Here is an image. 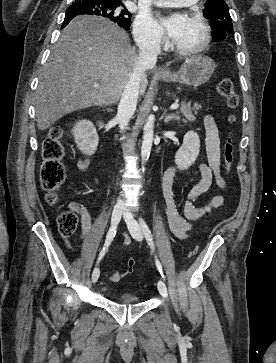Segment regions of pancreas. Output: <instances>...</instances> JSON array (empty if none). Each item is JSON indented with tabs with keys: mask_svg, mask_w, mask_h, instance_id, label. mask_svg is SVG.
Returning a JSON list of instances; mask_svg holds the SVG:
<instances>
[{
	"mask_svg": "<svg viewBox=\"0 0 276 363\" xmlns=\"http://www.w3.org/2000/svg\"><path fill=\"white\" fill-rule=\"evenodd\" d=\"M202 109V106L198 103H195L194 106H191V102H181L180 111L177 112V118L180 119L179 114H182L185 118L183 119L184 122L190 121L193 122L196 120L195 114L197 111Z\"/></svg>",
	"mask_w": 276,
	"mask_h": 363,
	"instance_id": "cf45deb5",
	"label": "pancreas"
}]
</instances>
